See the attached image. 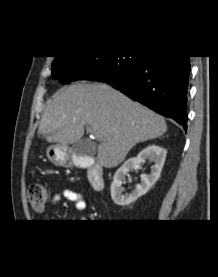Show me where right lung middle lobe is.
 I'll use <instances>...</instances> for the list:
<instances>
[{
	"instance_id": "1",
	"label": "right lung middle lobe",
	"mask_w": 218,
	"mask_h": 277,
	"mask_svg": "<svg viewBox=\"0 0 218 277\" xmlns=\"http://www.w3.org/2000/svg\"><path fill=\"white\" fill-rule=\"evenodd\" d=\"M144 56L56 57L52 75L61 83L96 76L104 80H123L143 60Z\"/></svg>"
}]
</instances>
